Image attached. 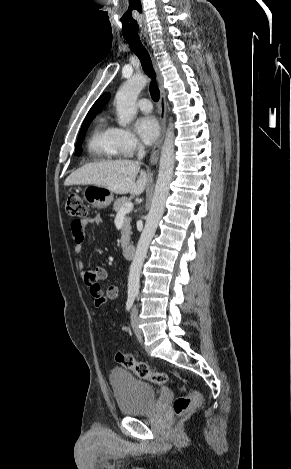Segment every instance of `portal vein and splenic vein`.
I'll use <instances>...</instances> for the list:
<instances>
[{"label": "portal vein and splenic vein", "instance_id": "18ae733b", "mask_svg": "<svg viewBox=\"0 0 291 469\" xmlns=\"http://www.w3.org/2000/svg\"><path fill=\"white\" fill-rule=\"evenodd\" d=\"M133 209V203L128 202L126 203L119 211V214H126Z\"/></svg>", "mask_w": 291, "mask_h": 469}]
</instances>
